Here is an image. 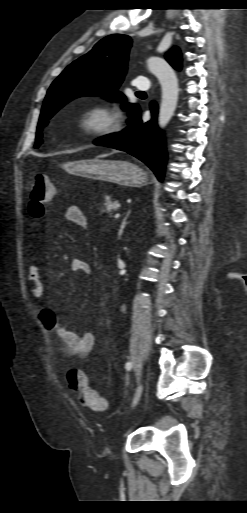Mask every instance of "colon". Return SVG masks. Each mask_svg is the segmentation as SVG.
Listing matches in <instances>:
<instances>
[{
    "label": "colon",
    "mask_w": 247,
    "mask_h": 513,
    "mask_svg": "<svg viewBox=\"0 0 247 513\" xmlns=\"http://www.w3.org/2000/svg\"><path fill=\"white\" fill-rule=\"evenodd\" d=\"M54 187L45 175H37L31 182L28 193V213L32 219L38 220L43 217L47 204L54 197ZM70 389L78 392L81 402L94 411H105L106 400L101 397L89 385L87 375L79 370H71L67 375Z\"/></svg>",
    "instance_id": "1"
}]
</instances>
